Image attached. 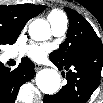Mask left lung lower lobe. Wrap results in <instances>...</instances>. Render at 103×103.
I'll use <instances>...</instances> for the list:
<instances>
[{
    "label": "left lung lower lobe",
    "mask_w": 103,
    "mask_h": 103,
    "mask_svg": "<svg viewBox=\"0 0 103 103\" xmlns=\"http://www.w3.org/2000/svg\"><path fill=\"white\" fill-rule=\"evenodd\" d=\"M53 63L59 70L69 71L66 76L67 84L57 94L45 95L43 102L86 103L100 83L103 49L93 46L87 55L78 57L67 65Z\"/></svg>",
    "instance_id": "1"
}]
</instances>
